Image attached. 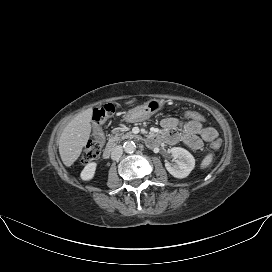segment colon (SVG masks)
<instances>
[{
	"instance_id": "colon-1",
	"label": "colon",
	"mask_w": 272,
	"mask_h": 272,
	"mask_svg": "<svg viewBox=\"0 0 272 272\" xmlns=\"http://www.w3.org/2000/svg\"><path fill=\"white\" fill-rule=\"evenodd\" d=\"M115 110L116 107L113 104H106L94 111L93 122L95 125V131L93 138L87 143L83 150L82 162L84 164L90 163L99 157L105 140L103 126L113 115ZM180 118L182 120H194L200 122L205 120V117L197 111H183L180 113ZM220 146L221 141L219 139H215L211 143V147L214 150H218Z\"/></svg>"
}]
</instances>
